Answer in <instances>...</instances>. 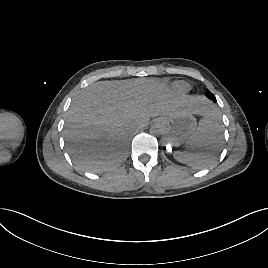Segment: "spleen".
<instances>
[{
    "instance_id": "1",
    "label": "spleen",
    "mask_w": 268,
    "mask_h": 268,
    "mask_svg": "<svg viewBox=\"0 0 268 268\" xmlns=\"http://www.w3.org/2000/svg\"><path fill=\"white\" fill-rule=\"evenodd\" d=\"M222 126L217 120L214 110L208 111L205 118L199 121V125L187 140L186 144L191 151H176L174 158L195 169H202L211 164L217 157L223 138Z\"/></svg>"
}]
</instances>
